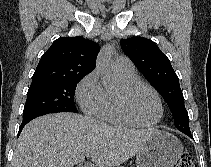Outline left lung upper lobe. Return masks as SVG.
Returning <instances> with one entry per match:
<instances>
[{"label": "left lung upper lobe", "mask_w": 211, "mask_h": 167, "mask_svg": "<svg viewBox=\"0 0 211 167\" xmlns=\"http://www.w3.org/2000/svg\"><path fill=\"white\" fill-rule=\"evenodd\" d=\"M120 44L124 53L168 104L175 127L181 132L190 131L179 79L167 56L153 41L143 37L123 39Z\"/></svg>", "instance_id": "5c2ea615"}]
</instances>
